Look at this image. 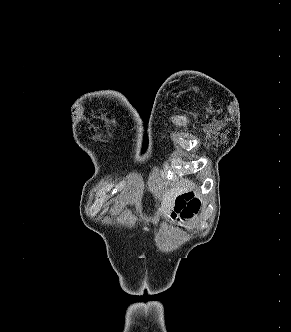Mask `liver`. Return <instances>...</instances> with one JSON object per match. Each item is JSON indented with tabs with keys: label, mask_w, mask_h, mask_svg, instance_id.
<instances>
[{
	"label": "liver",
	"mask_w": 291,
	"mask_h": 332,
	"mask_svg": "<svg viewBox=\"0 0 291 332\" xmlns=\"http://www.w3.org/2000/svg\"><path fill=\"white\" fill-rule=\"evenodd\" d=\"M189 187H192V184L190 182H186V185H183L182 187H174L170 190H167L162 198V204L159 208L160 215H163L164 217L168 216L170 211L173 209L175 204V199L177 196L184 193L186 190H188Z\"/></svg>",
	"instance_id": "6515ba94"
}]
</instances>
